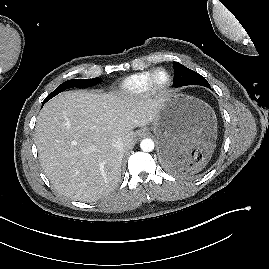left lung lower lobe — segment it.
<instances>
[{"mask_svg": "<svg viewBox=\"0 0 269 269\" xmlns=\"http://www.w3.org/2000/svg\"><path fill=\"white\" fill-rule=\"evenodd\" d=\"M177 157V151L176 149L172 147H168L164 150V163L167 165V169L172 170L171 168H168L170 164H173ZM174 171V170H173Z\"/></svg>", "mask_w": 269, "mask_h": 269, "instance_id": "0a47b994", "label": "left lung lower lobe"}]
</instances>
